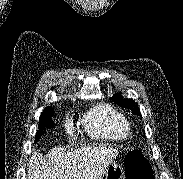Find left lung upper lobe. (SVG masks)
Here are the masks:
<instances>
[{
    "label": "left lung upper lobe",
    "mask_w": 183,
    "mask_h": 179,
    "mask_svg": "<svg viewBox=\"0 0 183 179\" xmlns=\"http://www.w3.org/2000/svg\"><path fill=\"white\" fill-rule=\"evenodd\" d=\"M112 99L117 105L126 107V108L132 110L133 113H136L137 115H141L138 105L135 103L134 100L123 99L121 95H114V97H112Z\"/></svg>",
    "instance_id": "1"
}]
</instances>
